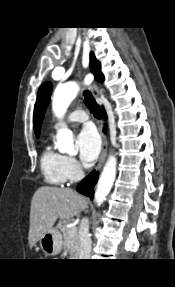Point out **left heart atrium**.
Wrapping results in <instances>:
<instances>
[{
    "instance_id": "1",
    "label": "left heart atrium",
    "mask_w": 175,
    "mask_h": 287,
    "mask_svg": "<svg viewBox=\"0 0 175 287\" xmlns=\"http://www.w3.org/2000/svg\"><path fill=\"white\" fill-rule=\"evenodd\" d=\"M76 144L80 159L85 163L95 161L100 153L101 140L92 126L83 128L77 136Z\"/></svg>"
}]
</instances>
